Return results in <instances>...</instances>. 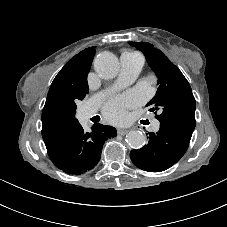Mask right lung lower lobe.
Returning a JSON list of instances; mask_svg holds the SVG:
<instances>
[{"mask_svg":"<svg viewBox=\"0 0 227 227\" xmlns=\"http://www.w3.org/2000/svg\"><path fill=\"white\" fill-rule=\"evenodd\" d=\"M116 136V129L96 123L85 132L78 123L66 132L44 140L53 164L62 171L79 175L92 170L99 162L104 142Z\"/></svg>","mask_w":227,"mask_h":227,"instance_id":"right-lung-lower-lobe-1","label":"right lung lower lobe"}]
</instances>
